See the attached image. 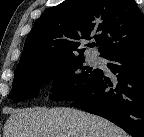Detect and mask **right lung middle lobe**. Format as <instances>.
I'll return each instance as SVG.
<instances>
[{"mask_svg":"<svg viewBox=\"0 0 144 137\" xmlns=\"http://www.w3.org/2000/svg\"><path fill=\"white\" fill-rule=\"evenodd\" d=\"M84 57L37 60L17 66L9 98L14 102L34 98L38 88L53 82L54 101H71L80 96L97 78L101 70L83 66Z\"/></svg>","mask_w":144,"mask_h":137,"instance_id":"dd1d6c3e","label":"right lung middle lobe"}]
</instances>
